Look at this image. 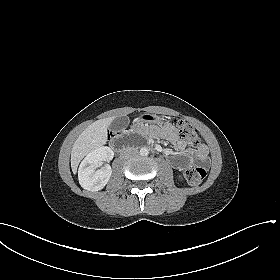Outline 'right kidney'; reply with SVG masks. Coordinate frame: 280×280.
<instances>
[{"label":"right kidney","mask_w":280,"mask_h":280,"mask_svg":"<svg viewBox=\"0 0 280 280\" xmlns=\"http://www.w3.org/2000/svg\"><path fill=\"white\" fill-rule=\"evenodd\" d=\"M113 157V150L106 146L95 148L89 152L78 170L81 187L92 192L103 189L111 177L112 169L108 164L101 169L96 170V168L103 162H109Z\"/></svg>","instance_id":"obj_1"}]
</instances>
